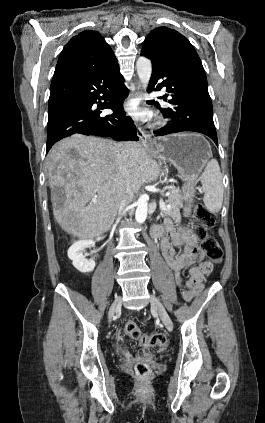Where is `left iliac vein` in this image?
Returning a JSON list of instances; mask_svg holds the SVG:
<instances>
[{
    "label": "left iliac vein",
    "mask_w": 265,
    "mask_h": 423,
    "mask_svg": "<svg viewBox=\"0 0 265 423\" xmlns=\"http://www.w3.org/2000/svg\"><path fill=\"white\" fill-rule=\"evenodd\" d=\"M150 303H151L152 308L157 311L160 319L162 320V322L166 326V328L168 330H173L172 320L169 317V315H168L165 307L163 306V304L159 301V299L156 296L151 295Z\"/></svg>",
    "instance_id": "obj_1"
}]
</instances>
